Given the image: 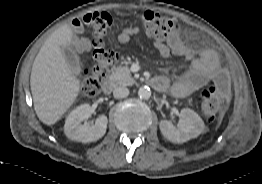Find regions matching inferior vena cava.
I'll use <instances>...</instances> for the list:
<instances>
[{
	"mask_svg": "<svg viewBox=\"0 0 262 184\" xmlns=\"http://www.w3.org/2000/svg\"><path fill=\"white\" fill-rule=\"evenodd\" d=\"M113 95L116 98H125L129 95V90L126 87H117L114 89Z\"/></svg>",
	"mask_w": 262,
	"mask_h": 184,
	"instance_id": "602c4592",
	"label": "inferior vena cava"
}]
</instances>
